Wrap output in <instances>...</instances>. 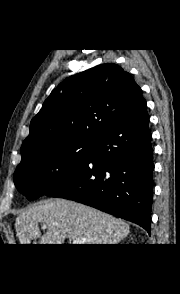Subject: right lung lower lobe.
Segmentation results:
<instances>
[{
    "label": "right lung lower lobe",
    "instance_id": "right-lung-lower-lobe-1",
    "mask_svg": "<svg viewBox=\"0 0 180 294\" xmlns=\"http://www.w3.org/2000/svg\"><path fill=\"white\" fill-rule=\"evenodd\" d=\"M146 101L101 134L85 163L49 192L134 222L150 233L153 149Z\"/></svg>",
    "mask_w": 180,
    "mask_h": 294
}]
</instances>
